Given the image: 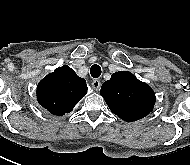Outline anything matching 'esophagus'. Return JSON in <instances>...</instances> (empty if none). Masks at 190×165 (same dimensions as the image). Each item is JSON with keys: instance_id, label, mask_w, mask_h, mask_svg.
<instances>
[{"instance_id": "1", "label": "esophagus", "mask_w": 190, "mask_h": 165, "mask_svg": "<svg viewBox=\"0 0 190 165\" xmlns=\"http://www.w3.org/2000/svg\"><path fill=\"white\" fill-rule=\"evenodd\" d=\"M91 85H92V88H93L94 90H96V91L100 90L101 83H100L99 80H97V79H96V80H93L92 83H91Z\"/></svg>"}]
</instances>
